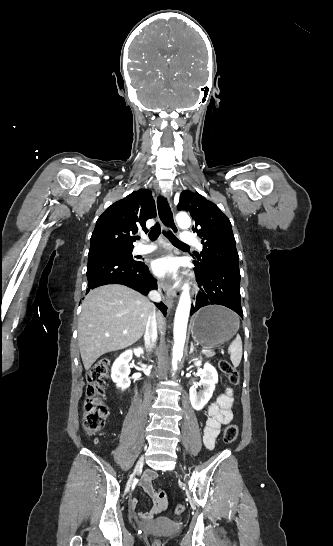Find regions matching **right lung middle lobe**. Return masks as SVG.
I'll list each match as a JSON object with an SVG mask.
<instances>
[{
	"instance_id": "1",
	"label": "right lung middle lobe",
	"mask_w": 333,
	"mask_h": 546,
	"mask_svg": "<svg viewBox=\"0 0 333 546\" xmlns=\"http://www.w3.org/2000/svg\"><path fill=\"white\" fill-rule=\"evenodd\" d=\"M132 249L133 247H107L100 250L118 254L128 260H135L132 256Z\"/></svg>"
}]
</instances>
